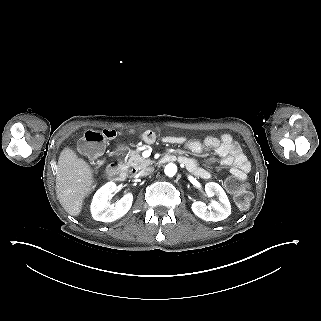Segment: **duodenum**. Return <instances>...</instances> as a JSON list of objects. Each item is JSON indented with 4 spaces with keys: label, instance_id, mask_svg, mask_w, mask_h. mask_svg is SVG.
Masks as SVG:
<instances>
[{
    "label": "duodenum",
    "instance_id": "1",
    "mask_svg": "<svg viewBox=\"0 0 321 321\" xmlns=\"http://www.w3.org/2000/svg\"><path fill=\"white\" fill-rule=\"evenodd\" d=\"M176 159L177 157L174 154H165L160 161L161 163H168L173 162ZM179 161L182 162L183 158L180 157ZM107 174L113 181H123L125 179L126 173L122 162L119 160H113L112 162H110L107 166Z\"/></svg>",
    "mask_w": 321,
    "mask_h": 321
}]
</instances>
